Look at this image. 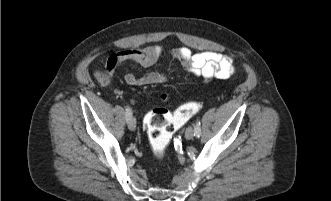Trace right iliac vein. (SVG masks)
Instances as JSON below:
<instances>
[{"label": "right iliac vein", "instance_id": "obj_1", "mask_svg": "<svg viewBox=\"0 0 331 201\" xmlns=\"http://www.w3.org/2000/svg\"><path fill=\"white\" fill-rule=\"evenodd\" d=\"M128 127L130 130L134 131L136 129V119L131 117L130 120H128Z\"/></svg>", "mask_w": 331, "mask_h": 201}]
</instances>
